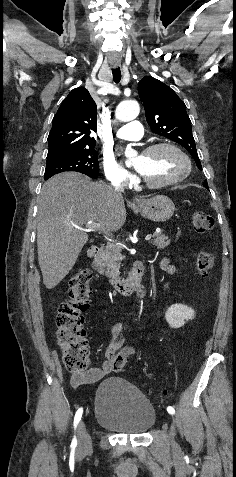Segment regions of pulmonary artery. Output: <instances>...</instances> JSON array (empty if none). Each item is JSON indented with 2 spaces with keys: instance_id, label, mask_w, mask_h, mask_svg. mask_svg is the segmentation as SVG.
Returning a JSON list of instances; mask_svg holds the SVG:
<instances>
[{
  "instance_id": "obj_1",
  "label": "pulmonary artery",
  "mask_w": 236,
  "mask_h": 477,
  "mask_svg": "<svg viewBox=\"0 0 236 477\" xmlns=\"http://www.w3.org/2000/svg\"><path fill=\"white\" fill-rule=\"evenodd\" d=\"M115 135L119 139L139 140L143 136L142 125L139 121H131L118 128Z\"/></svg>"
}]
</instances>
